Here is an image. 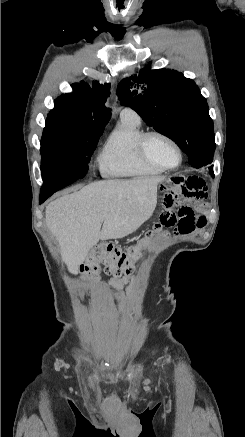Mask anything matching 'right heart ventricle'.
Returning <instances> with one entry per match:
<instances>
[{
  "label": "right heart ventricle",
  "mask_w": 245,
  "mask_h": 437,
  "mask_svg": "<svg viewBox=\"0 0 245 437\" xmlns=\"http://www.w3.org/2000/svg\"><path fill=\"white\" fill-rule=\"evenodd\" d=\"M145 133L138 118L121 116L100 157V168L105 175L136 177L158 175L164 170L142 159L138 141Z\"/></svg>",
  "instance_id": "right-heart-ventricle-1"
}]
</instances>
